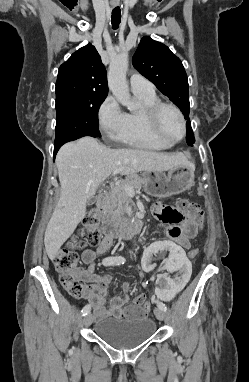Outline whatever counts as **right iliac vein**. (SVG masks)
Wrapping results in <instances>:
<instances>
[{"mask_svg":"<svg viewBox=\"0 0 249 382\" xmlns=\"http://www.w3.org/2000/svg\"><path fill=\"white\" fill-rule=\"evenodd\" d=\"M92 320L93 316L91 314L86 315L83 319V325L88 327L92 323Z\"/></svg>","mask_w":249,"mask_h":382,"instance_id":"63e3f726","label":"right iliac vein"}]
</instances>
